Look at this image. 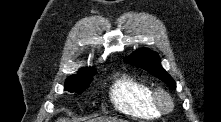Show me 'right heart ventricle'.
<instances>
[{"instance_id":"obj_1","label":"right heart ventricle","mask_w":221,"mask_h":122,"mask_svg":"<svg viewBox=\"0 0 221 122\" xmlns=\"http://www.w3.org/2000/svg\"><path fill=\"white\" fill-rule=\"evenodd\" d=\"M151 94L152 88L146 81L130 74L116 78L110 88V100L117 110L143 119H155L161 115Z\"/></svg>"}]
</instances>
